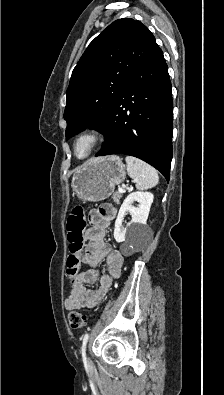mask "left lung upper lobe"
I'll return each instance as SVG.
<instances>
[{
    "label": "left lung upper lobe",
    "instance_id": "left-lung-upper-lobe-1",
    "mask_svg": "<svg viewBox=\"0 0 224 395\" xmlns=\"http://www.w3.org/2000/svg\"><path fill=\"white\" fill-rule=\"evenodd\" d=\"M155 46L149 29L130 18L116 20L89 44L67 90V138L89 125L102 131L124 85Z\"/></svg>",
    "mask_w": 224,
    "mask_h": 395
}]
</instances>
